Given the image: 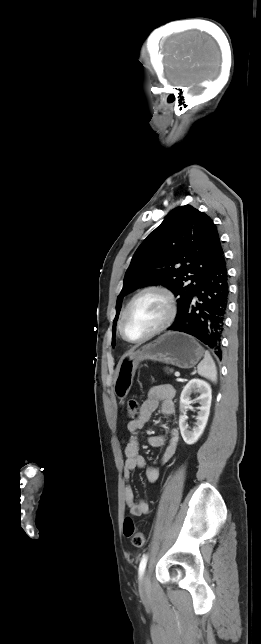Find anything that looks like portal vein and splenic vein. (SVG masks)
<instances>
[{
    "instance_id": "portal-vein-and-splenic-vein-1",
    "label": "portal vein and splenic vein",
    "mask_w": 261,
    "mask_h": 644,
    "mask_svg": "<svg viewBox=\"0 0 261 644\" xmlns=\"http://www.w3.org/2000/svg\"><path fill=\"white\" fill-rule=\"evenodd\" d=\"M175 376H176V377H179V376H180V373H179V372H175Z\"/></svg>"
}]
</instances>
